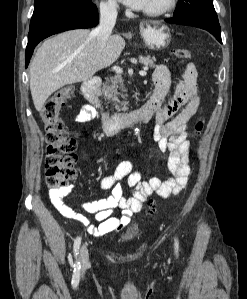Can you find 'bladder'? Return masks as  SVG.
<instances>
[{"label":"bladder","instance_id":"1","mask_svg":"<svg viewBox=\"0 0 247 299\" xmlns=\"http://www.w3.org/2000/svg\"><path fill=\"white\" fill-rule=\"evenodd\" d=\"M139 235V229L138 228H130L123 236L124 241H130L135 238H137Z\"/></svg>","mask_w":247,"mask_h":299}]
</instances>
